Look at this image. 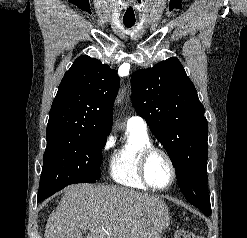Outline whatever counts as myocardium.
<instances>
[{
  "mask_svg": "<svg viewBox=\"0 0 247 238\" xmlns=\"http://www.w3.org/2000/svg\"><path fill=\"white\" fill-rule=\"evenodd\" d=\"M153 154H160L162 155L168 162L169 166H170V169H171V180L170 182L166 185V186H163V187H157V186H154L150 181H149V178H148V175H147V164H148V161L150 159V157L153 155ZM138 168H139V174H140V177L142 179V181L144 182V184L152 189V190H156V191H164V190H167L169 189L175 182L176 180V177H177V169H176V165H175V162L172 158V156L170 155V153L168 151H166L165 149L161 148V147H157V146H149L147 148H145L140 156V159H139V164H138Z\"/></svg>",
  "mask_w": 247,
  "mask_h": 238,
  "instance_id": "obj_1",
  "label": "myocardium"
}]
</instances>
